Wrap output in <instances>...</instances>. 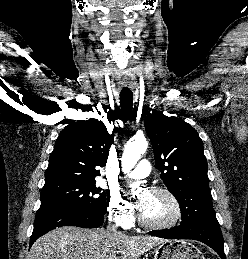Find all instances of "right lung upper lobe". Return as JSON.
Returning a JSON list of instances; mask_svg holds the SVG:
<instances>
[{
  "mask_svg": "<svg viewBox=\"0 0 248 259\" xmlns=\"http://www.w3.org/2000/svg\"><path fill=\"white\" fill-rule=\"evenodd\" d=\"M113 138L96 119L69 124L56 140L45 183L95 180L100 175L96 167L106 165Z\"/></svg>",
  "mask_w": 248,
  "mask_h": 259,
  "instance_id": "obj_1",
  "label": "right lung upper lobe"
}]
</instances>
